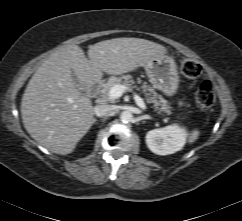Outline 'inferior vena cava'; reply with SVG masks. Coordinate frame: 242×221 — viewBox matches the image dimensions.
<instances>
[{"instance_id":"inferior-vena-cava-1","label":"inferior vena cava","mask_w":242,"mask_h":221,"mask_svg":"<svg viewBox=\"0 0 242 221\" xmlns=\"http://www.w3.org/2000/svg\"><path fill=\"white\" fill-rule=\"evenodd\" d=\"M114 110L113 106L106 104H98L94 107V113L97 117L107 116Z\"/></svg>"}]
</instances>
